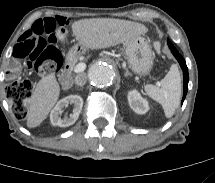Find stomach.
Segmentation results:
<instances>
[{"instance_id": "0dacf381", "label": "stomach", "mask_w": 215, "mask_h": 183, "mask_svg": "<svg viewBox=\"0 0 215 183\" xmlns=\"http://www.w3.org/2000/svg\"><path fill=\"white\" fill-rule=\"evenodd\" d=\"M81 44L75 45L67 54L69 61L78 58L85 52ZM124 50L127 55L129 67L139 75H147L153 67L154 53L147 40L137 36L124 43Z\"/></svg>"}]
</instances>
